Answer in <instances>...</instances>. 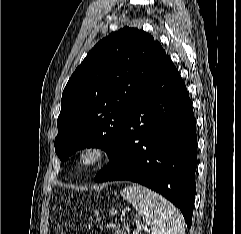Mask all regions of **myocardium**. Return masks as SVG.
I'll use <instances>...</instances> for the list:
<instances>
[{
	"mask_svg": "<svg viewBox=\"0 0 241 234\" xmlns=\"http://www.w3.org/2000/svg\"><path fill=\"white\" fill-rule=\"evenodd\" d=\"M109 156L108 148L101 143H88L81 147L76 155L77 167L90 171L103 164Z\"/></svg>",
	"mask_w": 241,
	"mask_h": 234,
	"instance_id": "myocardium-1",
	"label": "myocardium"
}]
</instances>
